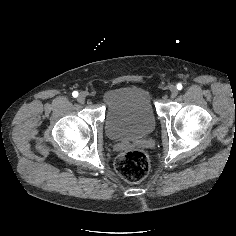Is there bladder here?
Wrapping results in <instances>:
<instances>
[{"label":"bladder","mask_w":236,"mask_h":236,"mask_svg":"<svg viewBox=\"0 0 236 236\" xmlns=\"http://www.w3.org/2000/svg\"><path fill=\"white\" fill-rule=\"evenodd\" d=\"M104 130L112 141L143 138L157 125V114L150 91L139 85L113 89L106 97Z\"/></svg>","instance_id":"obj_1"}]
</instances>
